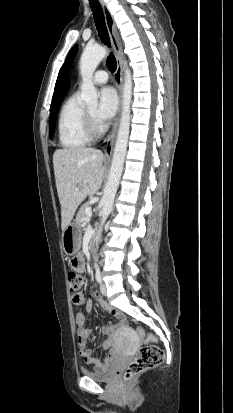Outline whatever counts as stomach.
Returning a JSON list of instances; mask_svg holds the SVG:
<instances>
[{"instance_id": "1", "label": "stomach", "mask_w": 233, "mask_h": 413, "mask_svg": "<svg viewBox=\"0 0 233 413\" xmlns=\"http://www.w3.org/2000/svg\"><path fill=\"white\" fill-rule=\"evenodd\" d=\"M81 229L75 223L69 224L62 235V247L67 255H74L80 249Z\"/></svg>"}]
</instances>
